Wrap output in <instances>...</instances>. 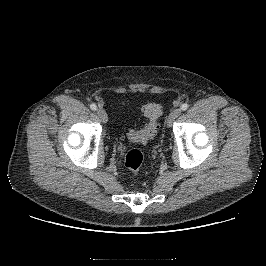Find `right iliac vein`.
Masks as SVG:
<instances>
[{
  "mask_svg": "<svg viewBox=\"0 0 266 266\" xmlns=\"http://www.w3.org/2000/svg\"><path fill=\"white\" fill-rule=\"evenodd\" d=\"M97 115L99 116V118L101 119L102 122H104V123L107 122L108 118H107V114H106L104 109L99 108L97 110Z\"/></svg>",
  "mask_w": 266,
  "mask_h": 266,
  "instance_id": "1",
  "label": "right iliac vein"
}]
</instances>
